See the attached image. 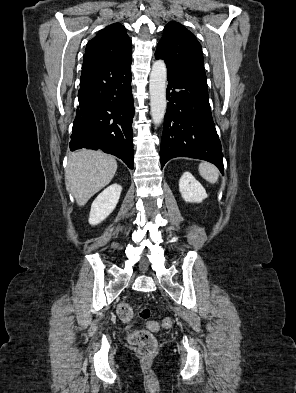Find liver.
<instances>
[{"mask_svg":"<svg viewBox=\"0 0 296 393\" xmlns=\"http://www.w3.org/2000/svg\"><path fill=\"white\" fill-rule=\"evenodd\" d=\"M117 170L116 160L101 151L82 149L68 157L65 183L79 206L108 185Z\"/></svg>","mask_w":296,"mask_h":393,"instance_id":"1","label":"liver"}]
</instances>
